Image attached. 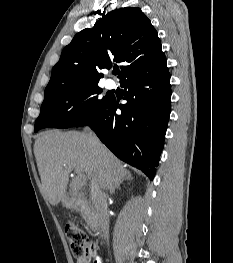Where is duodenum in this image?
Segmentation results:
<instances>
[{
	"instance_id": "410a0bca",
	"label": "duodenum",
	"mask_w": 233,
	"mask_h": 263,
	"mask_svg": "<svg viewBox=\"0 0 233 263\" xmlns=\"http://www.w3.org/2000/svg\"><path fill=\"white\" fill-rule=\"evenodd\" d=\"M66 202L70 208L83 211L89 223L90 229L95 234H99L101 231L99 213L95 208L89 206L88 201L85 198L67 197Z\"/></svg>"
}]
</instances>
